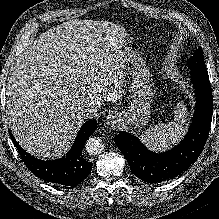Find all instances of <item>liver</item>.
Masks as SVG:
<instances>
[{"label": "liver", "instance_id": "6515ba94", "mask_svg": "<svg viewBox=\"0 0 219 219\" xmlns=\"http://www.w3.org/2000/svg\"><path fill=\"white\" fill-rule=\"evenodd\" d=\"M125 29L74 19L48 29L11 67L8 124L19 144L40 158L66 153L84 122L79 108L121 98Z\"/></svg>", "mask_w": 219, "mask_h": 219}]
</instances>
